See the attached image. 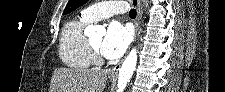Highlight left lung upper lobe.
I'll use <instances>...</instances> for the list:
<instances>
[{
  "instance_id": "5c2ea615",
  "label": "left lung upper lobe",
  "mask_w": 225,
  "mask_h": 92,
  "mask_svg": "<svg viewBox=\"0 0 225 92\" xmlns=\"http://www.w3.org/2000/svg\"><path fill=\"white\" fill-rule=\"evenodd\" d=\"M88 0H69L68 4L63 12V15L68 14L71 11L76 10L78 7L85 4Z\"/></svg>"
}]
</instances>
